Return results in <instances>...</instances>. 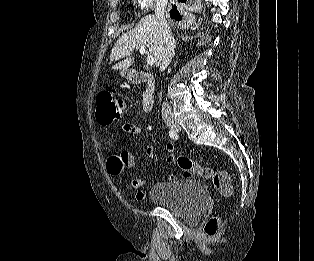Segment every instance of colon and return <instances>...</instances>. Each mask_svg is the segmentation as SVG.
<instances>
[{
  "label": "colon",
  "instance_id": "obj_1",
  "mask_svg": "<svg viewBox=\"0 0 314 261\" xmlns=\"http://www.w3.org/2000/svg\"><path fill=\"white\" fill-rule=\"evenodd\" d=\"M96 119L101 126H108L114 122L120 121L126 114V108L122 99L109 89L102 90L96 98ZM170 162H176L183 170L186 178L193 176L209 179L214 187L222 194L228 195L231 191V180L228 172L224 170H212L188 157L180 156L177 158H169ZM128 165V156L122 153L111 160L109 170L113 174H118ZM219 227L217 217H211L204 225L203 231L207 236H214Z\"/></svg>",
  "mask_w": 314,
  "mask_h": 261
}]
</instances>
